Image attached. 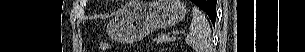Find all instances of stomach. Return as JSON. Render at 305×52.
Instances as JSON below:
<instances>
[{"instance_id":"obj_1","label":"stomach","mask_w":305,"mask_h":52,"mask_svg":"<svg viewBox=\"0 0 305 52\" xmlns=\"http://www.w3.org/2000/svg\"><path fill=\"white\" fill-rule=\"evenodd\" d=\"M185 15L181 0L136 1L109 21L107 33L115 41L131 43L154 30L179 23Z\"/></svg>"}]
</instances>
